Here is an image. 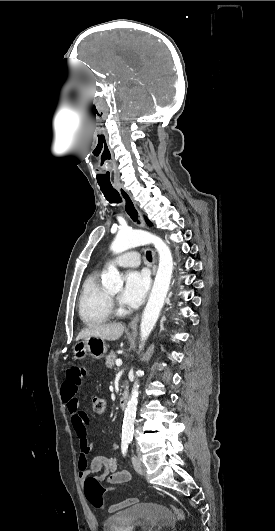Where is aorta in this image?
Returning <instances> with one entry per match:
<instances>
[{
	"mask_svg": "<svg viewBox=\"0 0 275 531\" xmlns=\"http://www.w3.org/2000/svg\"><path fill=\"white\" fill-rule=\"evenodd\" d=\"M142 243H153L159 255V265L154 285L149 295L148 303L143 311L140 323V349L144 347L145 341H147L150 333H152L158 321L160 311L165 303L173 275L172 253L166 243H164L162 239H159V237L150 235V233H145V231H130V229H120L110 247L115 255H119V253H124V251H128V249L140 247ZM102 283L103 287L108 289V291H119V289H122L123 279L115 265H109ZM136 375L137 377H140V371H136ZM138 389L139 383L138 381H135L133 391L124 411L122 437H129V439L133 437L134 433V421L139 395Z\"/></svg>",
	"mask_w": 275,
	"mask_h": 531,
	"instance_id": "1",
	"label": "aorta"
}]
</instances>
